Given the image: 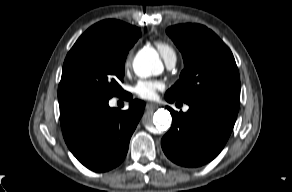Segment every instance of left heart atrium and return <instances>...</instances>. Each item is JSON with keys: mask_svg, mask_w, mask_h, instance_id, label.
<instances>
[{"mask_svg": "<svg viewBox=\"0 0 292 192\" xmlns=\"http://www.w3.org/2000/svg\"><path fill=\"white\" fill-rule=\"evenodd\" d=\"M162 83L155 80H139L133 86V92L142 99H154Z\"/></svg>", "mask_w": 292, "mask_h": 192, "instance_id": "left-heart-atrium-1", "label": "left heart atrium"}]
</instances>
